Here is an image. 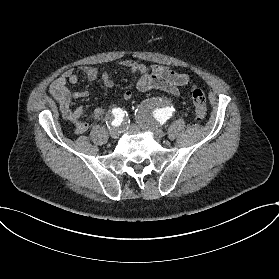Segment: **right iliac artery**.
I'll return each instance as SVG.
<instances>
[{"label":"right iliac artery","instance_id":"1","mask_svg":"<svg viewBox=\"0 0 279 279\" xmlns=\"http://www.w3.org/2000/svg\"><path fill=\"white\" fill-rule=\"evenodd\" d=\"M112 115H113V117L115 118V119H113V121L111 122V124L113 125V126H119L120 124H121V122H122V120H123V118H124V116H125V113H124V111L121 109V108H119V107H116V108H114L113 110H112Z\"/></svg>","mask_w":279,"mask_h":279}]
</instances>
